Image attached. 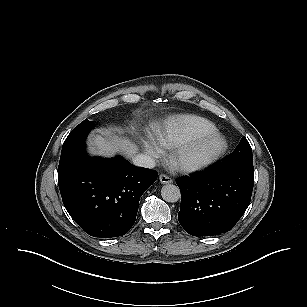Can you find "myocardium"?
I'll list each match as a JSON object with an SVG mask.
<instances>
[{
    "instance_id": "myocardium-1",
    "label": "myocardium",
    "mask_w": 307,
    "mask_h": 307,
    "mask_svg": "<svg viewBox=\"0 0 307 307\" xmlns=\"http://www.w3.org/2000/svg\"><path fill=\"white\" fill-rule=\"evenodd\" d=\"M228 140L214 131L192 138L170 154L173 167L182 173H193L215 164L227 151Z\"/></svg>"
}]
</instances>
